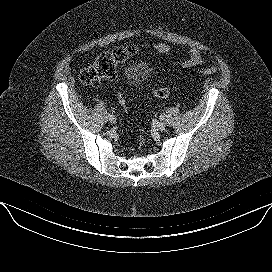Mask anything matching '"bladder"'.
Returning <instances> with one entry per match:
<instances>
[{"label":"bladder","mask_w":272,"mask_h":272,"mask_svg":"<svg viewBox=\"0 0 272 272\" xmlns=\"http://www.w3.org/2000/svg\"><path fill=\"white\" fill-rule=\"evenodd\" d=\"M149 75V66L142 61L131 63L124 70L125 81L133 87H138L143 84Z\"/></svg>","instance_id":"obj_1"}]
</instances>
